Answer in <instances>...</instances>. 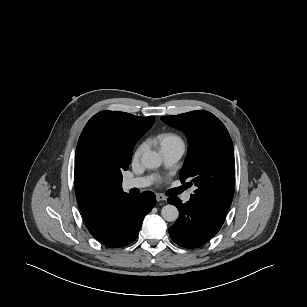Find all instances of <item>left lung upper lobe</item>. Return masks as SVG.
Returning a JSON list of instances; mask_svg holds the SVG:
<instances>
[{"mask_svg":"<svg viewBox=\"0 0 307 307\" xmlns=\"http://www.w3.org/2000/svg\"><path fill=\"white\" fill-rule=\"evenodd\" d=\"M161 120L185 132L188 152L180 180L196 190L189 200L200 211L223 223L235 189L234 149L224 124L213 114L191 111Z\"/></svg>","mask_w":307,"mask_h":307,"instance_id":"5c2ea615","label":"left lung upper lobe"}]
</instances>
